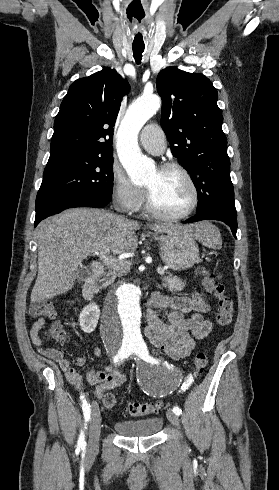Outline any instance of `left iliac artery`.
<instances>
[{
  "mask_svg": "<svg viewBox=\"0 0 279 490\" xmlns=\"http://www.w3.org/2000/svg\"><path fill=\"white\" fill-rule=\"evenodd\" d=\"M141 349H142V351H143V354H144L145 356H147V359H148L150 362H155V363H156L155 359H153V358L149 357L146 345H143V346L141 347ZM193 381H194V380H193V377H192V375L190 374V375L188 376L187 381L183 383V385H182L181 389H182L183 391H185L186 389H188V387L191 385V383H192ZM173 412H174L176 415H180V414L182 413V410H181L179 407H177V406H176V407H174V408H173Z\"/></svg>",
  "mask_w": 279,
  "mask_h": 490,
  "instance_id": "44dca946",
  "label": "left iliac artery"
}]
</instances>
